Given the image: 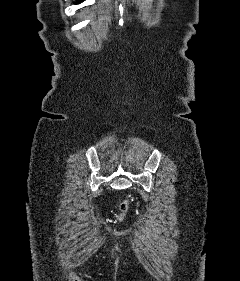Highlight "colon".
I'll list each match as a JSON object with an SVG mask.
<instances>
[{"label":"colon","mask_w":240,"mask_h":281,"mask_svg":"<svg viewBox=\"0 0 240 281\" xmlns=\"http://www.w3.org/2000/svg\"><path fill=\"white\" fill-rule=\"evenodd\" d=\"M129 209V201L128 200H124L121 204H120V212L118 214V219L122 220L126 213L128 212Z\"/></svg>","instance_id":"obj_1"}]
</instances>
